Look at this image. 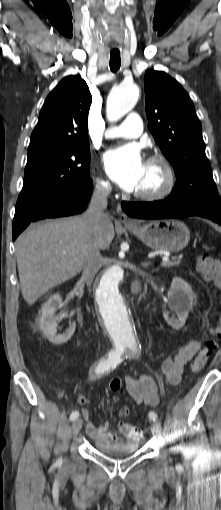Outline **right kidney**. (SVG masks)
<instances>
[{"instance_id": "right-kidney-1", "label": "right kidney", "mask_w": 221, "mask_h": 510, "mask_svg": "<svg viewBox=\"0 0 221 510\" xmlns=\"http://www.w3.org/2000/svg\"><path fill=\"white\" fill-rule=\"evenodd\" d=\"M62 306L61 296L56 293L41 307L40 328L44 336L55 345L64 344L71 339L76 328V324L71 323L63 334L57 335L58 321L65 316V313L61 312L57 315L55 313L57 308Z\"/></svg>"}]
</instances>
